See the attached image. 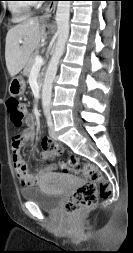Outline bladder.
<instances>
[{"instance_id":"31cf9c89","label":"bladder","mask_w":133,"mask_h":253,"mask_svg":"<svg viewBox=\"0 0 133 253\" xmlns=\"http://www.w3.org/2000/svg\"><path fill=\"white\" fill-rule=\"evenodd\" d=\"M20 194L25 201L34 203L41 210L46 212L56 210L62 200L61 193L49 191L44 187L37 185L21 189Z\"/></svg>"}]
</instances>
